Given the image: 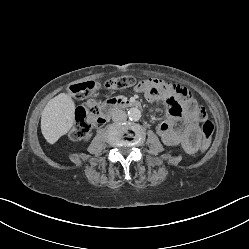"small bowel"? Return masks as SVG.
<instances>
[{"label":"small bowel","mask_w":249,"mask_h":249,"mask_svg":"<svg viewBox=\"0 0 249 249\" xmlns=\"http://www.w3.org/2000/svg\"><path fill=\"white\" fill-rule=\"evenodd\" d=\"M135 90L151 100H163L168 105V119L159 124L157 132L168 146L181 145L188 154L195 153L201 143L198 126L199 105L191 93L177 84L150 78Z\"/></svg>","instance_id":"c3829d8e"}]
</instances>
